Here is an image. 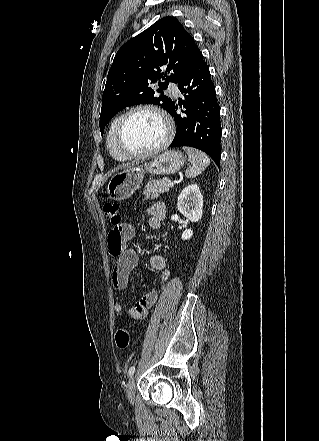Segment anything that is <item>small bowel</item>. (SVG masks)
<instances>
[{
	"instance_id": "obj_1",
	"label": "small bowel",
	"mask_w": 319,
	"mask_h": 441,
	"mask_svg": "<svg viewBox=\"0 0 319 441\" xmlns=\"http://www.w3.org/2000/svg\"><path fill=\"white\" fill-rule=\"evenodd\" d=\"M148 224L158 230L166 215V207L162 202H157L147 209ZM114 233H110L108 237V248L111 255L117 257L116 264L113 269L112 282L114 288L121 292L127 285L131 272L135 269L139 262L137 252L128 246L129 240L134 236V228L132 225L124 223L113 229ZM150 265L155 270L163 271L161 284L168 281L170 272L167 270L166 259L161 254H155L150 258ZM158 291L151 290L143 295L129 310V314L134 320H142L148 316L149 309L156 303ZM114 312L121 315L124 312V306L121 302L114 305Z\"/></svg>"
}]
</instances>
